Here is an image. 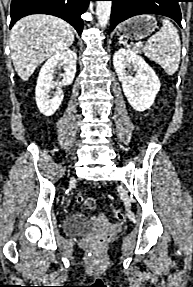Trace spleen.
Returning a JSON list of instances; mask_svg holds the SVG:
<instances>
[{"instance_id":"spleen-1","label":"spleen","mask_w":193,"mask_h":287,"mask_svg":"<svg viewBox=\"0 0 193 287\" xmlns=\"http://www.w3.org/2000/svg\"><path fill=\"white\" fill-rule=\"evenodd\" d=\"M162 24L160 31L148 39L143 52L158 63L168 75H173L180 63V37L176 27L168 19H163Z\"/></svg>"}]
</instances>
